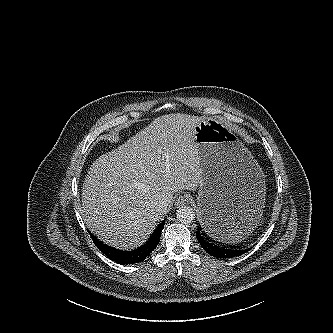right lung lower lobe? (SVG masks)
Returning a JSON list of instances; mask_svg holds the SVG:
<instances>
[{"label":"right lung lower lobe","instance_id":"98d812e1","mask_svg":"<svg viewBox=\"0 0 333 333\" xmlns=\"http://www.w3.org/2000/svg\"><path fill=\"white\" fill-rule=\"evenodd\" d=\"M165 220L156 228L150 239L141 246L140 248L132 251H123L111 246L104 244L103 242L99 241L94 235L91 233L90 236L98 247V249L105 254L109 259L115 261L119 264H134L140 261H143L149 254L155 249L158 245L162 229L164 227Z\"/></svg>","mask_w":333,"mask_h":333}]
</instances>
